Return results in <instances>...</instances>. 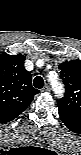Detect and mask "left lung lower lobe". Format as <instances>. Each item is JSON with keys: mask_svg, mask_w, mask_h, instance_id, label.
<instances>
[{"mask_svg": "<svg viewBox=\"0 0 81 155\" xmlns=\"http://www.w3.org/2000/svg\"><path fill=\"white\" fill-rule=\"evenodd\" d=\"M59 115H60L61 120L63 121V123L66 125V127L69 130L75 133L81 132V120L70 118L64 114H59Z\"/></svg>", "mask_w": 81, "mask_h": 155, "instance_id": "left-lung-lower-lobe-1", "label": "left lung lower lobe"}]
</instances>
